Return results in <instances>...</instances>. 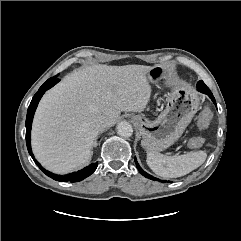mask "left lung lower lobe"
I'll return each instance as SVG.
<instances>
[{"label": "left lung lower lobe", "instance_id": "1", "mask_svg": "<svg viewBox=\"0 0 241 241\" xmlns=\"http://www.w3.org/2000/svg\"><path fill=\"white\" fill-rule=\"evenodd\" d=\"M197 89H198V91H200V92H202V93H204V94H207V95L211 98V100L213 101V103L216 105V101H215V98L213 97V94L211 93V91L209 90V88L204 84L203 81H199V82L197 83ZM135 163H136V166H137L138 170L140 171V173H141L143 176H145V177L148 178V179L154 180V181H157V180H158L157 178L149 175V174L146 173L144 170H142V168L139 166L136 158H135ZM161 182H166V181H163V180H162ZM168 182H170V181H168Z\"/></svg>", "mask_w": 241, "mask_h": 241}]
</instances>
